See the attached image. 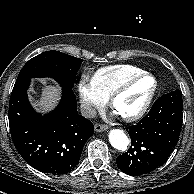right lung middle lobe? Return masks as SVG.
I'll list each match as a JSON object with an SVG mask.
<instances>
[{
  "label": "right lung middle lobe",
  "instance_id": "1",
  "mask_svg": "<svg viewBox=\"0 0 194 194\" xmlns=\"http://www.w3.org/2000/svg\"><path fill=\"white\" fill-rule=\"evenodd\" d=\"M82 62L80 58L59 51H45L24 65L16 82L34 77H51L61 86L72 88Z\"/></svg>",
  "mask_w": 194,
  "mask_h": 194
}]
</instances>
